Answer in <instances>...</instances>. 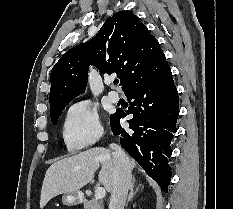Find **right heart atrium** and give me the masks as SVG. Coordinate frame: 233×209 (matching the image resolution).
I'll return each mask as SVG.
<instances>
[{
  "instance_id": "d8ad5b80",
  "label": "right heart atrium",
  "mask_w": 233,
  "mask_h": 209,
  "mask_svg": "<svg viewBox=\"0 0 233 209\" xmlns=\"http://www.w3.org/2000/svg\"><path fill=\"white\" fill-rule=\"evenodd\" d=\"M102 133L98 111L90 101H78L68 108L63 137L70 149L80 150L92 146Z\"/></svg>"
}]
</instances>
